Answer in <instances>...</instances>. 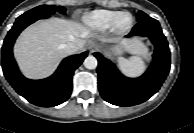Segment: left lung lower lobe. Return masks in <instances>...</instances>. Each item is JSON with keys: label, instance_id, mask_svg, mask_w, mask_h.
<instances>
[{"label": "left lung lower lobe", "instance_id": "1", "mask_svg": "<svg viewBox=\"0 0 194 133\" xmlns=\"http://www.w3.org/2000/svg\"><path fill=\"white\" fill-rule=\"evenodd\" d=\"M135 35L148 37L155 46L153 62L139 78L123 76L112 62L94 53L100 94L113 105L133 106L148 100L160 89L170 70V50L159 22L151 17L139 21L127 37Z\"/></svg>", "mask_w": 194, "mask_h": 133}]
</instances>
